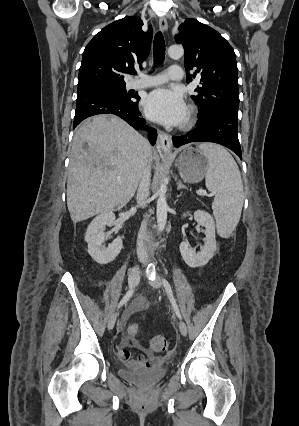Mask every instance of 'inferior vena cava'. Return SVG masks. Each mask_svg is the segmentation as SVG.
Segmentation results:
<instances>
[{
  "instance_id": "obj_1",
  "label": "inferior vena cava",
  "mask_w": 299,
  "mask_h": 426,
  "mask_svg": "<svg viewBox=\"0 0 299 426\" xmlns=\"http://www.w3.org/2000/svg\"><path fill=\"white\" fill-rule=\"evenodd\" d=\"M150 181H151V167H150V160H149V163L145 167L143 174L141 176L140 184L137 191L136 200H137L138 206H141V207L146 206L147 199L149 197ZM145 240H146V222L144 220L140 227L139 234H138V241H137V257L139 261L142 263H145L147 261Z\"/></svg>"
}]
</instances>
